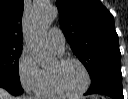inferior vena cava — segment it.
<instances>
[{
  "mask_svg": "<svg viewBox=\"0 0 128 99\" xmlns=\"http://www.w3.org/2000/svg\"><path fill=\"white\" fill-rule=\"evenodd\" d=\"M28 99H33V97H29Z\"/></svg>",
  "mask_w": 128,
  "mask_h": 99,
  "instance_id": "obj_1",
  "label": "inferior vena cava"
}]
</instances>
